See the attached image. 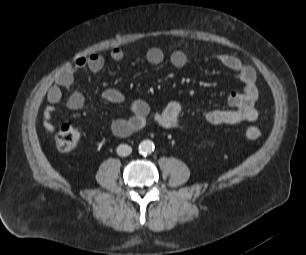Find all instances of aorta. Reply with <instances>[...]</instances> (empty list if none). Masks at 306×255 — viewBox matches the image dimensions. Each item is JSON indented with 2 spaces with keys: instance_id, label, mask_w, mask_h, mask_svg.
Masks as SVG:
<instances>
[{
  "instance_id": "762f6f07",
  "label": "aorta",
  "mask_w": 306,
  "mask_h": 255,
  "mask_svg": "<svg viewBox=\"0 0 306 255\" xmlns=\"http://www.w3.org/2000/svg\"><path fill=\"white\" fill-rule=\"evenodd\" d=\"M154 148V143L151 140H143L138 146V151L140 154L146 156L151 154Z\"/></svg>"
}]
</instances>
